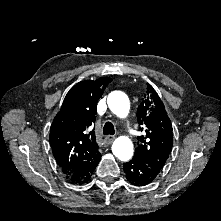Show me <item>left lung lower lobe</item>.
<instances>
[{"label": "left lung lower lobe", "mask_w": 221, "mask_h": 221, "mask_svg": "<svg viewBox=\"0 0 221 221\" xmlns=\"http://www.w3.org/2000/svg\"><path fill=\"white\" fill-rule=\"evenodd\" d=\"M124 172L128 181L135 186H145L153 182L159 173L153 171L147 164L133 158L124 163Z\"/></svg>", "instance_id": "1"}]
</instances>
